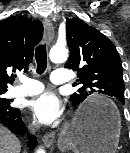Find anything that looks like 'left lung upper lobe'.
I'll use <instances>...</instances> for the list:
<instances>
[{
  "label": "left lung upper lobe",
  "instance_id": "left-lung-upper-lobe-1",
  "mask_svg": "<svg viewBox=\"0 0 130 153\" xmlns=\"http://www.w3.org/2000/svg\"><path fill=\"white\" fill-rule=\"evenodd\" d=\"M66 37L70 57L65 67L78 71L74 86L81 85L71 95L73 103H82L94 93L114 96L124 103L121 59L114 44L79 18H66Z\"/></svg>",
  "mask_w": 130,
  "mask_h": 153
}]
</instances>
